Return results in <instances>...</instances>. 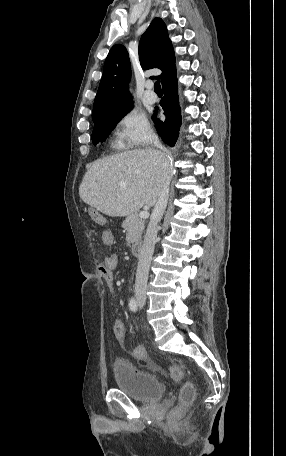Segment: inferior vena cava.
Wrapping results in <instances>:
<instances>
[{"mask_svg":"<svg viewBox=\"0 0 286 456\" xmlns=\"http://www.w3.org/2000/svg\"><path fill=\"white\" fill-rule=\"evenodd\" d=\"M152 142L155 147L161 149L165 152L164 147L161 145L158 137L155 135L152 137ZM168 171L170 168L168 166ZM169 197V176H165L158 189V198L155 204L152 217L147 226L146 234L144 237V242L141 248L139 262L136 272L135 280V295L136 297H145L146 296V287L148 281V273L150 269V264L152 261V256L154 253L155 244L157 241V224L163 217L164 211L167 207Z\"/></svg>","mask_w":286,"mask_h":456,"instance_id":"inferior-vena-cava-1","label":"inferior vena cava"}]
</instances>
